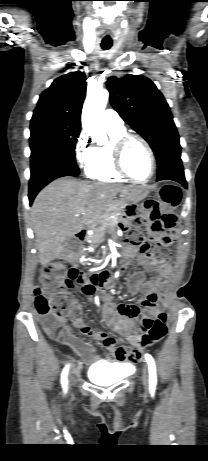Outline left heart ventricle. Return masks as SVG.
Listing matches in <instances>:
<instances>
[{
	"mask_svg": "<svg viewBox=\"0 0 208 461\" xmlns=\"http://www.w3.org/2000/svg\"><path fill=\"white\" fill-rule=\"evenodd\" d=\"M124 164L127 171L139 180L146 179L151 171V161L146 148L138 141H131L126 148Z\"/></svg>",
	"mask_w": 208,
	"mask_h": 461,
	"instance_id": "1",
	"label": "left heart ventricle"
}]
</instances>
